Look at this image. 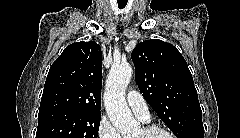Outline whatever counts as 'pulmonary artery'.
I'll return each instance as SVG.
<instances>
[{
    "instance_id": "1",
    "label": "pulmonary artery",
    "mask_w": 240,
    "mask_h": 138,
    "mask_svg": "<svg viewBox=\"0 0 240 138\" xmlns=\"http://www.w3.org/2000/svg\"><path fill=\"white\" fill-rule=\"evenodd\" d=\"M126 99L129 107L138 118L143 121H147L150 118L147 103L139 92L130 91Z\"/></svg>"
}]
</instances>
